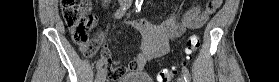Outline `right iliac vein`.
<instances>
[{
  "label": "right iliac vein",
  "mask_w": 279,
  "mask_h": 82,
  "mask_svg": "<svg viewBox=\"0 0 279 82\" xmlns=\"http://www.w3.org/2000/svg\"><path fill=\"white\" fill-rule=\"evenodd\" d=\"M124 1L120 2V5H123ZM106 79V72L104 69H100L97 74V82H105Z\"/></svg>",
  "instance_id": "1"
}]
</instances>
